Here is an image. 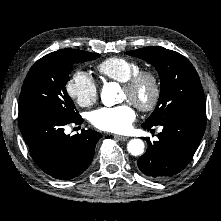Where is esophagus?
Wrapping results in <instances>:
<instances>
[{"mask_svg": "<svg viewBox=\"0 0 221 221\" xmlns=\"http://www.w3.org/2000/svg\"><path fill=\"white\" fill-rule=\"evenodd\" d=\"M114 138L120 141H126L128 139V137L120 135H114Z\"/></svg>", "mask_w": 221, "mask_h": 221, "instance_id": "1", "label": "esophagus"}]
</instances>
